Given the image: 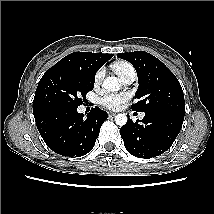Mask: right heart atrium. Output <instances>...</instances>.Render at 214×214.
Wrapping results in <instances>:
<instances>
[{
    "label": "right heart atrium",
    "instance_id": "obj_1",
    "mask_svg": "<svg viewBox=\"0 0 214 214\" xmlns=\"http://www.w3.org/2000/svg\"><path fill=\"white\" fill-rule=\"evenodd\" d=\"M102 77H103V70H102V69H99V70L97 71V73L95 74V77H94L95 83H96V84L99 83V82L101 81Z\"/></svg>",
    "mask_w": 214,
    "mask_h": 214
}]
</instances>
